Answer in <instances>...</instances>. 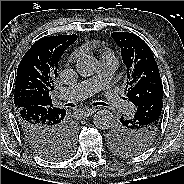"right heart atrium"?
<instances>
[{"mask_svg": "<svg viewBox=\"0 0 184 184\" xmlns=\"http://www.w3.org/2000/svg\"><path fill=\"white\" fill-rule=\"evenodd\" d=\"M77 55H78V53L76 52V53H74V54H72L71 55V57H70V60H73L74 58H76L77 57Z\"/></svg>", "mask_w": 184, "mask_h": 184, "instance_id": "right-heart-atrium-1", "label": "right heart atrium"}]
</instances>
